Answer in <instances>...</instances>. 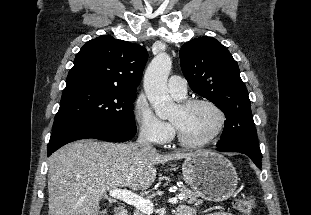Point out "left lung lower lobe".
Returning a JSON list of instances; mask_svg holds the SVG:
<instances>
[{
  "instance_id": "0a47b994",
  "label": "left lung lower lobe",
  "mask_w": 311,
  "mask_h": 215,
  "mask_svg": "<svg viewBox=\"0 0 311 215\" xmlns=\"http://www.w3.org/2000/svg\"><path fill=\"white\" fill-rule=\"evenodd\" d=\"M218 151L224 152H240L249 156L257 167L261 168L262 154L258 145L246 142H231L222 145H217Z\"/></svg>"
}]
</instances>
